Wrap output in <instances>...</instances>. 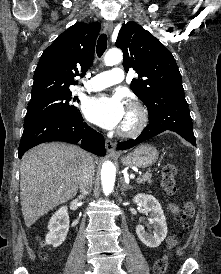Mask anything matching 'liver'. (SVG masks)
<instances>
[{
  "label": "liver",
  "mask_w": 221,
  "mask_h": 274,
  "mask_svg": "<svg viewBox=\"0 0 221 274\" xmlns=\"http://www.w3.org/2000/svg\"><path fill=\"white\" fill-rule=\"evenodd\" d=\"M90 155L64 143H44L22 157L20 199L27 227L77 194L84 161Z\"/></svg>",
  "instance_id": "6515ba94"
}]
</instances>
